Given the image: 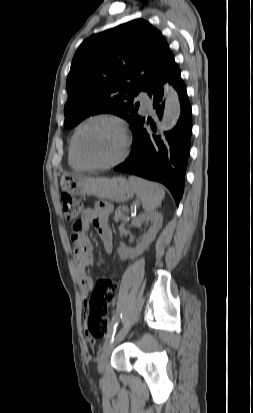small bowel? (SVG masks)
Segmentation results:
<instances>
[{"label": "small bowel", "instance_id": "small-bowel-1", "mask_svg": "<svg viewBox=\"0 0 253 413\" xmlns=\"http://www.w3.org/2000/svg\"><path fill=\"white\" fill-rule=\"evenodd\" d=\"M111 210L112 207L108 203L99 202L95 207L85 209L80 219L73 225L71 239L74 244V259L85 298V306H87V297L94 286L92 277L87 273V268L94 258L93 245L87 236V231L93 226L102 241L104 251L111 253L113 237L108 225V215Z\"/></svg>", "mask_w": 253, "mask_h": 413}]
</instances>
